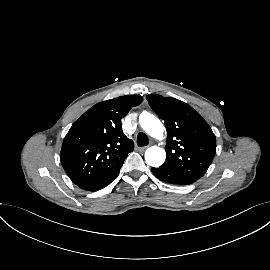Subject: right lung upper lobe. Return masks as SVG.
Segmentation results:
<instances>
[{
	"mask_svg": "<svg viewBox=\"0 0 270 270\" xmlns=\"http://www.w3.org/2000/svg\"><path fill=\"white\" fill-rule=\"evenodd\" d=\"M143 101L125 95L100 102L70 128L60 153L61 164L76 185L118 172L134 143L122 131L121 119Z\"/></svg>",
	"mask_w": 270,
	"mask_h": 270,
	"instance_id": "right-lung-upper-lobe-1",
	"label": "right lung upper lobe"
}]
</instances>
